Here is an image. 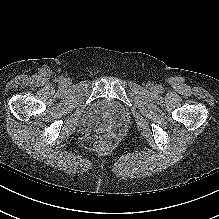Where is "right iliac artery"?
Wrapping results in <instances>:
<instances>
[{
  "label": "right iliac artery",
  "mask_w": 219,
  "mask_h": 219,
  "mask_svg": "<svg viewBox=\"0 0 219 219\" xmlns=\"http://www.w3.org/2000/svg\"><path fill=\"white\" fill-rule=\"evenodd\" d=\"M57 81L60 82V81H62V79H58Z\"/></svg>",
  "instance_id": "82829eb1"
}]
</instances>
